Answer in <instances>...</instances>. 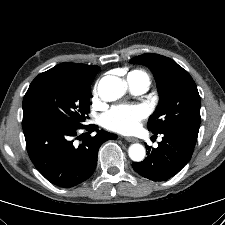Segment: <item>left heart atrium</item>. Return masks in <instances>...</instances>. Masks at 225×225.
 <instances>
[{
    "label": "left heart atrium",
    "mask_w": 225,
    "mask_h": 225,
    "mask_svg": "<svg viewBox=\"0 0 225 225\" xmlns=\"http://www.w3.org/2000/svg\"><path fill=\"white\" fill-rule=\"evenodd\" d=\"M147 115L142 105H119L104 115L103 124L109 130L128 134L134 132Z\"/></svg>",
    "instance_id": "1"
}]
</instances>
